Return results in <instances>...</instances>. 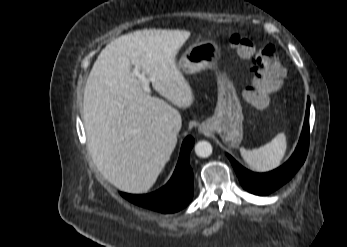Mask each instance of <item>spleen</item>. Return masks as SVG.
<instances>
[{
	"label": "spleen",
	"mask_w": 347,
	"mask_h": 247,
	"mask_svg": "<svg viewBox=\"0 0 347 247\" xmlns=\"http://www.w3.org/2000/svg\"><path fill=\"white\" fill-rule=\"evenodd\" d=\"M287 151L286 134H277L266 145L252 150L241 151V155L249 168L256 172H268L277 168Z\"/></svg>",
	"instance_id": "3e777b00"
}]
</instances>
